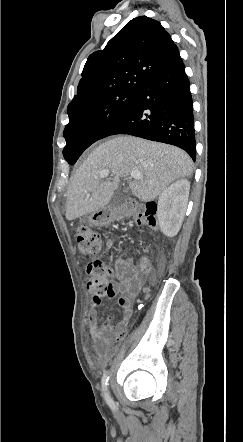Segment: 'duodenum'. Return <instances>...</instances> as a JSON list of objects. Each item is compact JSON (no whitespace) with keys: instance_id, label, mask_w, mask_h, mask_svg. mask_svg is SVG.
I'll return each instance as SVG.
<instances>
[{"instance_id":"410a0bca","label":"duodenum","mask_w":243,"mask_h":442,"mask_svg":"<svg viewBox=\"0 0 243 442\" xmlns=\"http://www.w3.org/2000/svg\"><path fill=\"white\" fill-rule=\"evenodd\" d=\"M135 211L134 202L130 199L126 200L123 205V212L127 215H130Z\"/></svg>"}]
</instances>
